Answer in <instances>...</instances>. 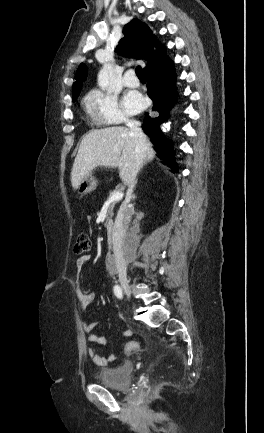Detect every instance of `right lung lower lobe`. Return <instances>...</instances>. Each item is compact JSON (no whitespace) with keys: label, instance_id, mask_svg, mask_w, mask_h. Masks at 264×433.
<instances>
[{"label":"right lung lower lobe","instance_id":"98d812e1","mask_svg":"<svg viewBox=\"0 0 264 433\" xmlns=\"http://www.w3.org/2000/svg\"><path fill=\"white\" fill-rule=\"evenodd\" d=\"M147 78V94L154 105L152 110L156 116L145 114L142 129L155 144V149L164 162L177 169V163L173 158L172 145L168 142L160 129V125L168 120V112L176 103V91L174 81L176 74L174 62L170 59L144 72Z\"/></svg>","mask_w":264,"mask_h":433}]
</instances>
